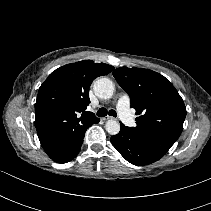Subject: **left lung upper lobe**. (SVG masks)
I'll return each instance as SVG.
<instances>
[{"label":"left lung upper lobe","instance_id":"left-lung-upper-lobe-1","mask_svg":"<svg viewBox=\"0 0 211 211\" xmlns=\"http://www.w3.org/2000/svg\"><path fill=\"white\" fill-rule=\"evenodd\" d=\"M129 94L131 107L140 115L132 131L149 147L164 156L183 130L186 107L175 87L149 69L120 67L113 72Z\"/></svg>","mask_w":211,"mask_h":211}]
</instances>
